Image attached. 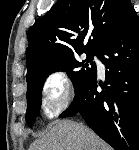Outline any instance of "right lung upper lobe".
<instances>
[{
  "mask_svg": "<svg viewBox=\"0 0 139 150\" xmlns=\"http://www.w3.org/2000/svg\"><path fill=\"white\" fill-rule=\"evenodd\" d=\"M133 9L130 0H59L29 30L27 77L55 59L97 52Z\"/></svg>",
  "mask_w": 139,
  "mask_h": 150,
  "instance_id": "right-lung-upper-lobe-1",
  "label": "right lung upper lobe"
}]
</instances>
